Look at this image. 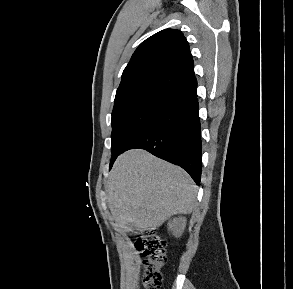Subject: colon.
Returning <instances> with one entry per match:
<instances>
[{
    "label": "colon",
    "instance_id": "5ec220e1",
    "mask_svg": "<svg viewBox=\"0 0 293 289\" xmlns=\"http://www.w3.org/2000/svg\"><path fill=\"white\" fill-rule=\"evenodd\" d=\"M137 248L143 253V284L145 289H160L163 281L162 268L167 262L165 240L150 231L136 239Z\"/></svg>",
    "mask_w": 293,
    "mask_h": 289
}]
</instances>
